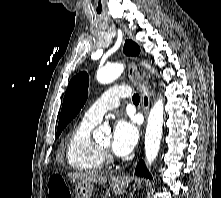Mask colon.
Instances as JSON below:
<instances>
[{
	"label": "colon",
	"instance_id": "colon-1",
	"mask_svg": "<svg viewBox=\"0 0 221 198\" xmlns=\"http://www.w3.org/2000/svg\"><path fill=\"white\" fill-rule=\"evenodd\" d=\"M49 198H71V193L64 179L55 175L48 182Z\"/></svg>",
	"mask_w": 221,
	"mask_h": 198
}]
</instances>
